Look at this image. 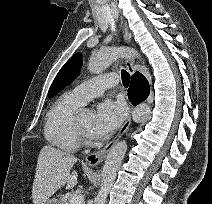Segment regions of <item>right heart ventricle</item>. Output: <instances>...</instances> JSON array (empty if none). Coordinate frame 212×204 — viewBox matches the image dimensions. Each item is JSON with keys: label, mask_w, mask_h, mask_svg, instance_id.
<instances>
[{"label": "right heart ventricle", "mask_w": 212, "mask_h": 204, "mask_svg": "<svg viewBox=\"0 0 212 204\" xmlns=\"http://www.w3.org/2000/svg\"><path fill=\"white\" fill-rule=\"evenodd\" d=\"M82 105L71 93H65L55 101L44 124V136L51 145L67 152L78 150L81 139L76 131L75 119Z\"/></svg>", "instance_id": "obj_1"}]
</instances>
